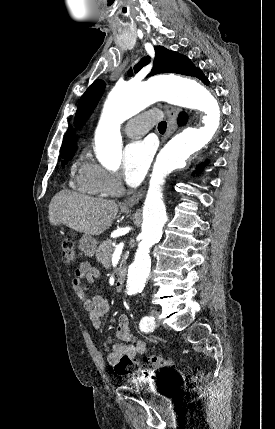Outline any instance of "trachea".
I'll use <instances>...</instances> for the list:
<instances>
[{"label":"trachea","mask_w":275,"mask_h":429,"mask_svg":"<svg viewBox=\"0 0 275 429\" xmlns=\"http://www.w3.org/2000/svg\"><path fill=\"white\" fill-rule=\"evenodd\" d=\"M166 127H167V124H166V122H165V121L160 122V123L158 124V130H159V132H160L161 134H164V132L166 131Z\"/></svg>","instance_id":"obj_1"}]
</instances>
